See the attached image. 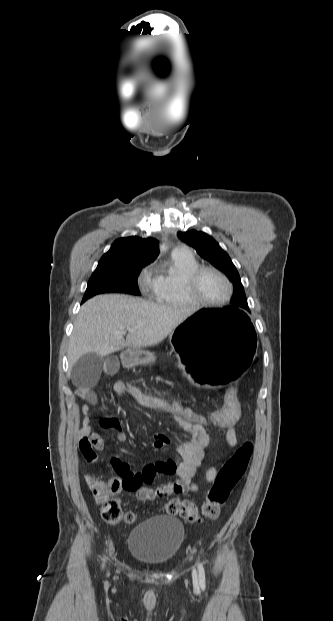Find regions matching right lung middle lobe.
I'll return each instance as SVG.
<instances>
[{
    "label": "right lung middle lobe",
    "mask_w": 333,
    "mask_h": 621,
    "mask_svg": "<svg viewBox=\"0 0 333 621\" xmlns=\"http://www.w3.org/2000/svg\"><path fill=\"white\" fill-rule=\"evenodd\" d=\"M146 265L136 262L99 263L88 282L82 302L96 294L105 292H123L140 295L137 287V277Z\"/></svg>",
    "instance_id": "obj_1"
}]
</instances>
